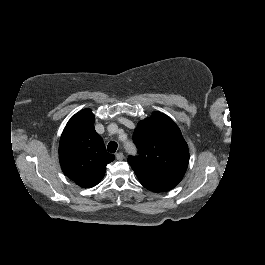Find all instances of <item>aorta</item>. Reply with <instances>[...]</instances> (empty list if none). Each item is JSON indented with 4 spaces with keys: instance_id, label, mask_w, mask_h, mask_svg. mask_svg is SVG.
I'll use <instances>...</instances> for the list:
<instances>
[{
    "instance_id": "obj_1",
    "label": "aorta",
    "mask_w": 265,
    "mask_h": 265,
    "mask_svg": "<svg viewBox=\"0 0 265 265\" xmlns=\"http://www.w3.org/2000/svg\"><path fill=\"white\" fill-rule=\"evenodd\" d=\"M123 147L128 155L136 156V148L131 142L125 141Z\"/></svg>"
}]
</instances>
